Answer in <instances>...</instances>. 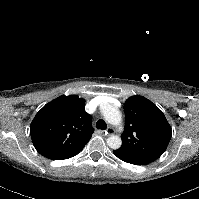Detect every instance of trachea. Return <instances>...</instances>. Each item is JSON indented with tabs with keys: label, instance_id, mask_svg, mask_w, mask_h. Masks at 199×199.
<instances>
[{
	"label": "trachea",
	"instance_id": "obj_1",
	"mask_svg": "<svg viewBox=\"0 0 199 199\" xmlns=\"http://www.w3.org/2000/svg\"><path fill=\"white\" fill-rule=\"evenodd\" d=\"M96 127L97 129L105 130L107 128V125L102 119H100L97 121Z\"/></svg>",
	"mask_w": 199,
	"mask_h": 199
}]
</instances>
